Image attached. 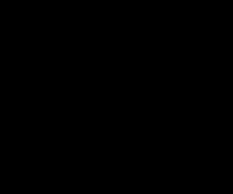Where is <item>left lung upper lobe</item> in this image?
<instances>
[{
  "mask_svg": "<svg viewBox=\"0 0 233 194\" xmlns=\"http://www.w3.org/2000/svg\"><path fill=\"white\" fill-rule=\"evenodd\" d=\"M150 150L182 154L190 145L198 122V104L187 89L170 81H155L141 90Z\"/></svg>",
  "mask_w": 233,
  "mask_h": 194,
  "instance_id": "obj_1",
  "label": "left lung upper lobe"
}]
</instances>
